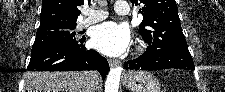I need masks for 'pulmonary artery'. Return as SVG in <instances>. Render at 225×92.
<instances>
[{"mask_svg":"<svg viewBox=\"0 0 225 92\" xmlns=\"http://www.w3.org/2000/svg\"><path fill=\"white\" fill-rule=\"evenodd\" d=\"M116 11L119 14L127 15L130 12V9L128 7L127 2L120 1L116 4ZM86 18L82 19L78 26L79 28H85L88 27L98 21H101L107 17V12L104 10H98V11H85Z\"/></svg>","mask_w":225,"mask_h":92,"instance_id":"pulmonary-artery-1","label":"pulmonary artery"}]
</instances>
